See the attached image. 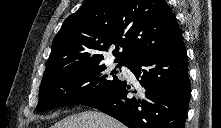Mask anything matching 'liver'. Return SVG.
<instances>
[{"label": "liver", "mask_w": 221, "mask_h": 128, "mask_svg": "<svg viewBox=\"0 0 221 128\" xmlns=\"http://www.w3.org/2000/svg\"><path fill=\"white\" fill-rule=\"evenodd\" d=\"M52 128H125V126L104 113L84 111L60 120Z\"/></svg>", "instance_id": "obj_1"}]
</instances>
